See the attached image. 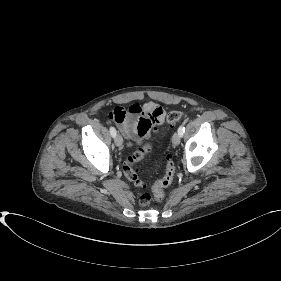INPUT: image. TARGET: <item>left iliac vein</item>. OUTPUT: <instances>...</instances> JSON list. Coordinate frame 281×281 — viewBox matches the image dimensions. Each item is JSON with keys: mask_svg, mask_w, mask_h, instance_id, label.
Instances as JSON below:
<instances>
[{"mask_svg": "<svg viewBox=\"0 0 281 281\" xmlns=\"http://www.w3.org/2000/svg\"><path fill=\"white\" fill-rule=\"evenodd\" d=\"M181 141V136L179 133H174L173 137H172V142L175 146L179 145Z\"/></svg>", "mask_w": 281, "mask_h": 281, "instance_id": "left-iliac-vein-1", "label": "left iliac vein"}]
</instances>
